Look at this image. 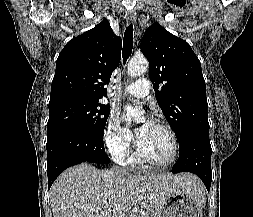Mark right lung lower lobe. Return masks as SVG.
<instances>
[{
    "mask_svg": "<svg viewBox=\"0 0 253 217\" xmlns=\"http://www.w3.org/2000/svg\"><path fill=\"white\" fill-rule=\"evenodd\" d=\"M47 175L49 188L66 168L80 164H108L103 136L95 135L85 129L63 127L48 132Z\"/></svg>",
    "mask_w": 253,
    "mask_h": 217,
    "instance_id": "obj_1",
    "label": "right lung lower lobe"
}]
</instances>
